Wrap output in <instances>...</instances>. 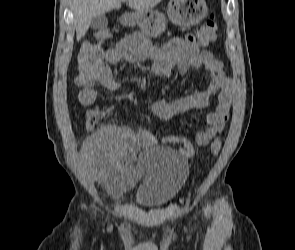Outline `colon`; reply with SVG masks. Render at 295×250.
I'll return each instance as SVG.
<instances>
[{
  "mask_svg": "<svg viewBox=\"0 0 295 250\" xmlns=\"http://www.w3.org/2000/svg\"><path fill=\"white\" fill-rule=\"evenodd\" d=\"M218 26L216 16L211 14L205 23L200 27L198 31V40L202 44L209 43L217 37ZM111 37V33L107 29H99L93 34V40L86 42L82 45L78 54L79 68L89 70L91 67L93 53L100 45ZM104 111L98 109H89L85 112V125L86 128L93 129L98 122L103 118ZM221 149V140L214 139L210 144V153L217 155Z\"/></svg>",
  "mask_w": 295,
  "mask_h": 250,
  "instance_id": "colon-1",
  "label": "colon"
}]
</instances>
